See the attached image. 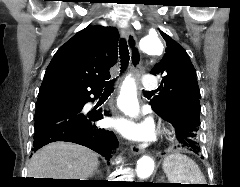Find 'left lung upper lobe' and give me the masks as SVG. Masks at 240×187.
I'll return each mask as SVG.
<instances>
[{
    "mask_svg": "<svg viewBox=\"0 0 240 187\" xmlns=\"http://www.w3.org/2000/svg\"><path fill=\"white\" fill-rule=\"evenodd\" d=\"M159 31L167 48L163 59L150 72L162 77L159 95L150 104L157 114L184 118L199 128L200 91L194 66L185 49Z\"/></svg>",
    "mask_w": 240,
    "mask_h": 187,
    "instance_id": "obj_1",
    "label": "left lung upper lobe"
}]
</instances>
